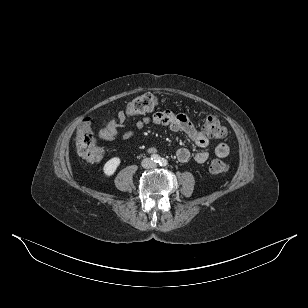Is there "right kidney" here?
I'll use <instances>...</instances> for the list:
<instances>
[{"instance_id": "ca27d5eb", "label": "right kidney", "mask_w": 308, "mask_h": 308, "mask_svg": "<svg viewBox=\"0 0 308 308\" xmlns=\"http://www.w3.org/2000/svg\"><path fill=\"white\" fill-rule=\"evenodd\" d=\"M120 163L121 160L118 157L111 158L109 161H107L103 167V172L105 176L113 175Z\"/></svg>"}]
</instances>
